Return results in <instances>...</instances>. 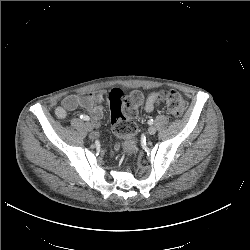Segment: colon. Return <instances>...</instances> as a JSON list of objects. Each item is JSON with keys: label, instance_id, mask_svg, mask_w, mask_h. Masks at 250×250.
Segmentation results:
<instances>
[{"label": "colon", "instance_id": "colon-1", "mask_svg": "<svg viewBox=\"0 0 250 250\" xmlns=\"http://www.w3.org/2000/svg\"><path fill=\"white\" fill-rule=\"evenodd\" d=\"M160 98L166 105L168 112L179 117L187 107L184 97L177 91L165 90L160 94ZM111 113V124L114 133L124 139V149L127 154L136 150L137 141L135 138L136 126L131 121L141 103V94L132 92L125 95L120 89L114 88L105 94Z\"/></svg>", "mask_w": 250, "mask_h": 250}]
</instances>
